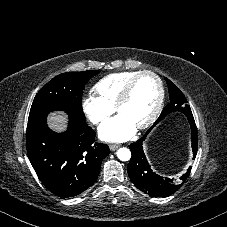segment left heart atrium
Masks as SVG:
<instances>
[{"label": "left heart atrium", "instance_id": "1", "mask_svg": "<svg viewBox=\"0 0 227 227\" xmlns=\"http://www.w3.org/2000/svg\"><path fill=\"white\" fill-rule=\"evenodd\" d=\"M136 126L124 115L118 114L107 119L99 127V136L108 142H120L131 138Z\"/></svg>", "mask_w": 227, "mask_h": 227}]
</instances>
